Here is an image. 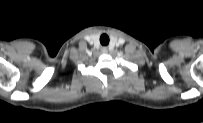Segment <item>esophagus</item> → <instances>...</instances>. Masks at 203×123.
Segmentation results:
<instances>
[{"label": "esophagus", "instance_id": "obj_1", "mask_svg": "<svg viewBox=\"0 0 203 123\" xmlns=\"http://www.w3.org/2000/svg\"><path fill=\"white\" fill-rule=\"evenodd\" d=\"M102 52H103V53H107V48H106V47H103V48H102Z\"/></svg>", "mask_w": 203, "mask_h": 123}]
</instances>
